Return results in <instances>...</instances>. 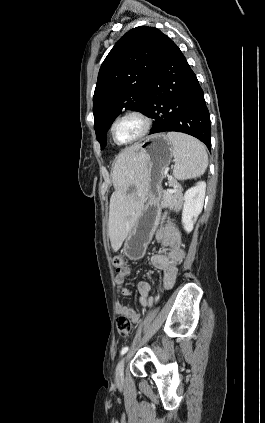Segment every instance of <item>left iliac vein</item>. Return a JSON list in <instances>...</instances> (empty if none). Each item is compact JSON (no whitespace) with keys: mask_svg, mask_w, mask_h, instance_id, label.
Masks as SVG:
<instances>
[{"mask_svg":"<svg viewBox=\"0 0 265 423\" xmlns=\"http://www.w3.org/2000/svg\"><path fill=\"white\" fill-rule=\"evenodd\" d=\"M124 362L125 357H123L117 364L116 370H115V379L117 382L122 381L123 379V373H124Z\"/></svg>","mask_w":265,"mask_h":423,"instance_id":"obj_1","label":"left iliac vein"}]
</instances>
